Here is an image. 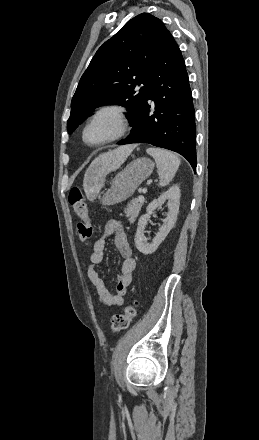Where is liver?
<instances>
[{
	"mask_svg": "<svg viewBox=\"0 0 259 440\" xmlns=\"http://www.w3.org/2000/svg\"><path fill=\"white\" fill-rule=\"evenodd\" d=\"M134 145H125L99 155L87 170L84 178V190L88 198L93 199L103 186L105 176L117 170L134 149Z\"/></svg>",
	"mask_w": 259,
	"mask_h": 440,
	"instance_id": "obj_1",
	"label": "liver"
}]
</instances>
